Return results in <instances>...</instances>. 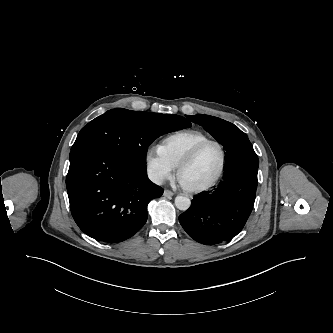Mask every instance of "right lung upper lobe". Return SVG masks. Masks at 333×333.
Listing matches in <instances>:
<instances>
[{
  "label": "right lung upper lobe",
  "mask_w": 333,
  "mask_h": 333,
  "mask_svg": "<svg viewBox=\"0 0 333 333\" xmlns=\"http://www.w3.org/2000/svg\"><path fill=\"white\" fill-rule=\"evenodd\" d=\"M152 114H160V113H152ZM185 119V118H184ZM187 120V119H186Z\"/></svg>",
  "instance_id": "obj_1"
}]
</instances>
